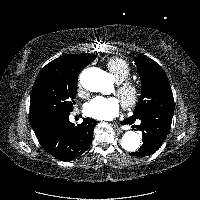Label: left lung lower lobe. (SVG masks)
I'll return each mask as SVG.
<instances>
[{
  "label": "left lung lower lobe",
  "instance_id": "obj_1",
  "mask_svg": "<svg viewBox=\"0 0 200 200\" xmlns=\"http://www.w3.org/2000/svg\"><path fill=\"white\" fill-rule=\"evenodd\" d=\"M137 119L141 121L137 128L142 131L143 145L131 155L144 157L160 148L170 132L172 117L161 115L156 111H148L136 119H126L122 124H133Z\"/></svg>",
  "mask_w": 200,
  "mask_h": 200
}]
</instances>
